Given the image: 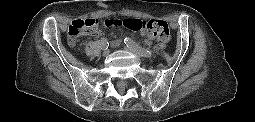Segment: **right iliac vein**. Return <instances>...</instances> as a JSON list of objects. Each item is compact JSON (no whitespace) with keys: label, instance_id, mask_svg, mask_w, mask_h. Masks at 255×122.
I'll return each instance as SVG.
<instances>
[{"label":"right iliac vein","instance_id":"1","mask_svg":"<svg viewBox=\"0 0 255 122\" xmlns=\"http://www.w3.org/2000/svg\"><path fill=\"white\" fill-rule=\"evenodd\" d=\"M109 53H110V50L109 49H105L103 51V56H107Z\"/></svg>","mask_w":255,"mask_h":122}]
</instances>
